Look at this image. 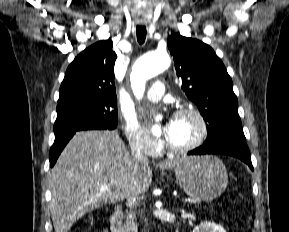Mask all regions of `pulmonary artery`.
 <instances>
[{"instance_id": "obj_1", "label": "pulmonary artery", "mask_w": 289, "mask_h": 232, "mask_svg": "<svg viewBox=\"0 0 289 232\" xmlns=\"http://www.w3.org/2000/svg\"><path fill=\"white\" fill-rule=\"evenodd\" d=\"M164 92H165L164 83L161 81H156L148 90L146 98L152 102L159 101L164 95Z\"/></svg>"}]
</instances>
